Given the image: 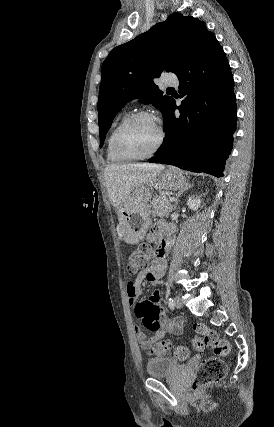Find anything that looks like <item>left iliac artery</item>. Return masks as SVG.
I'll use <instances>...</instances> for the list:
<instances>
[{"mask_svg": "<svg viewBox=\"0 0 274 427\" xmlns=\"http://www.w3.org/2000/svg\"><path fill=\"white\" fill-rule=\"evenodd\" d=\"M168 306L170 307V309H174V302L171 297H168Z\"/></svg>", "mask_w": 274, "mask_h": 427, "instance_id": "44dca946", "label": "left iliac artery"}]
</instances>
